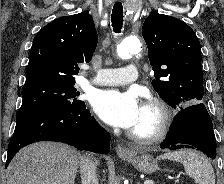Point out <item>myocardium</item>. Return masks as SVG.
<instances>
[{
    "label": "myocardium",
    "mask_w": 224,
    "mask_h": 184,
    "mask_svg": "<svg viewBox=\"0 0 224 184\" xmlns=\"http://www.w3.org/2000/svg\"><path fill=\"white\" fill-rule=\"evenodd\" d=\"M145 108L151 109L157 113L158 120L155 129L150 135H140L130 130L129 137L140 144H153L162 141L169 133L173 123V112L170 106L158 98H149L144 102Z\"/></svg>",
    "instance_id": "myocardium-1"
}]
</instances>
